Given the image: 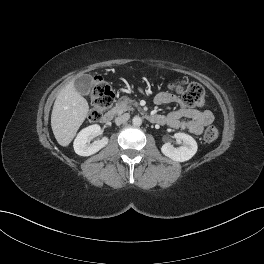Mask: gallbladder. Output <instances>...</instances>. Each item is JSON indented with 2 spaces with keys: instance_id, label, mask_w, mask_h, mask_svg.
I'll use <instances>...</instances> for the list:
<instances>
[{
  "instance_id": "obj_1",
  "label": "gallbladder",
  "mask_w": 264,
  "mask_h": 264,
  "mask_svg": "<svg viewBox=\"0 0 264 264\" xmlns=\"http://www.w3.org/2000/svg\"><path fill=\"white\" fill-rule=\"evenodd\" d=\"M93 78L91 75L85 74L78 77L75 82L74 86L75 89L82 95H88L91 92L93 87Z\"/></svg>"
}]
</instances>
